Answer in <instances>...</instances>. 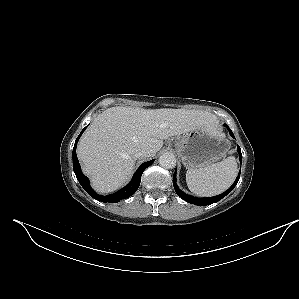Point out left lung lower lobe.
I'll use <instances>...</instances> for the list:
<instances>
[{"mask_svg": "<svg viewBox=\"0 0 299 299\" xmlns=\"http://www.w3.org/2000/svg\"><path fill=\"white\" fill-rule=\"evenodd\" d=\"M224 126L228 129L230 135L233 138H235L234 135H233V132L231 131V129L226 124H224ZM237 151L239 153L240 161H242V154H241V149H240L239 146L237 148ZM239 177H240V172H239V175L236 178L235 182L233 183V185L227 191H225L224 193H222L220 195H217V196H214V197H209V198H197V197L189 196V195L185 194L183 191H181L178 188V186L176 185V171L173 175V186L175 188V191H176L177 195L180 196L185 201H187L188 203L204 206V205H210L212 203L218 202L223 197H225L227 194H229L234 189V187L237 185Z\"/></svg>", "mask_w": 299, "mask_h": 299, "instance_id": "0a47b994", "label": "left lung lower lobe"}]
</instances>
